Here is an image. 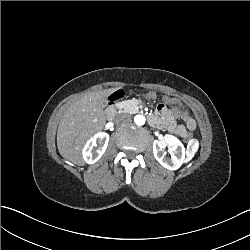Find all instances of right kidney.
Instances as JSON below:
<instances>
[{"label":"right kidney","instance_id":"obj_1","mask_svg":"<svg viewBox=\"0 0 250 250\" xmlns=\"http://www.w3.org/2000/svg\"><path fill=\"white\" fill-rule=\"evenodd\" d=\"M109 142V134L105 132L96 133L83 147L82 155L87 164L96 163L105 153ZM96 147V150L93 148Z\"/></svg>","mask_w":250,"mask_h":250}]
</instances>
